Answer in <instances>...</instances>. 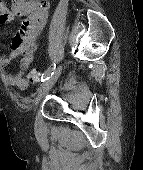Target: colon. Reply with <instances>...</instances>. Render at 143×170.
<instances>
[{
  "label": "colon",
  "mask_w": 143,
  "mask_h": 170,
  "mask_svg": "<svg viewBox=\"0 0 143 170\" xmlns=\"http://www.w3.org/2000/svg\"><path fill=\"white\" fill-rule=\"evenodd\" d=\"M40 80V73L36 70H33L28 75V81L32 84L38 83Z\"/></svg>",
  "instance_id": "1"
}]
</instances>
